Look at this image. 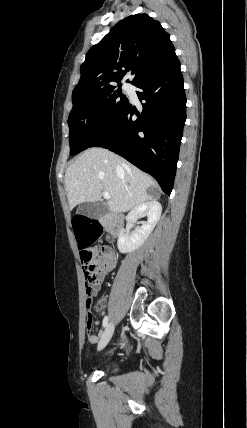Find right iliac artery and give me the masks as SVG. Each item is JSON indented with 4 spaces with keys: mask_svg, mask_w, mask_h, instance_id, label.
Returning a JSON list of instances; mask_svg holds the SVG:
<instances>
[{
    "mask_svg": "<svg viewBox=\"0 0 247 428\" xmlns=\"http://www.w3.org/2000/svg\"><path fill=\"white\" fill-rule=\"evenodd\" d=\"M107 323H108V317L105 316L103 319V328H105L107 326Z\"/></svg>",
    "mask_w": 247,
    "mask_h": 428,
    "instance_id": "82829eb1",
    "label": "right iliac artery"
}]
</instances>
